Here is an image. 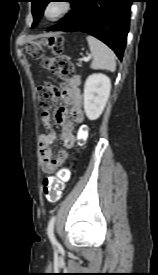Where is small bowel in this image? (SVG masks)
<instances>
[{
  "mask_svg": "<svg viewBox=\"0 0 158 275\" xmlns=\"http://www.w3.org/2000/svg\"><path fill=\"white\" fill-rule=\"evenodd\" d=\"M80 80L77 76L69 81V85L63 93V100L66 106H60L55 111V121L61 126V139L63 146L70 149L75 144L74 127L76 124L83 122L84 115L82 110V97L78 88ZM71 117L69 119L68 117ZM42 122L47 133L39 136V153L41 158L40 167L43 173H52L60 164L67 158L68 153L65 149L59 150L56 155H53L51 144L53 143L56 134L51 125V112L43 111L41 115Z\"/></svg>",
  "mask_w": 158,
  "mask_h": 275,
  "instance_id": "obj_1",
  "label": "small bowel"
}]
</instances>
